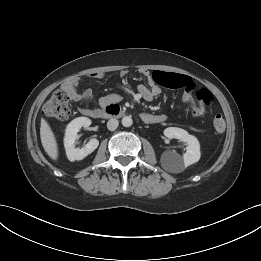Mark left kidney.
<instances>
[{"mask_svg":"<svg viewBox=\"0 0 261 261\" xmlns=\"http://www.w3.org/2000/svg\"><path fill=\"white\" fill-rule=\"evenodd\" d=\"M164 135L169 139H179L186 143V153L183 156L171 151L163 152L161 156L162 165L174 172H180L200 159V144L196 137L188 134L187 131L177 127H168Z\"/></svg>","mask_w":261,"mask_h":261,"instance_id":"5707ae66","label":"left kidney"}]
</instances>
